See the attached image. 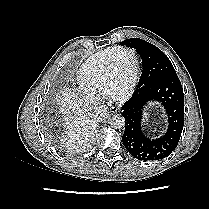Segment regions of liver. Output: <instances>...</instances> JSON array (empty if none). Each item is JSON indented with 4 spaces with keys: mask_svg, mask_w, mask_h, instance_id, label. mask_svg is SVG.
I'll use <instances>...</instances> for the list:
<instances>
[{
    "mask_svg": "<svg viewBox=\"0 0 209 209\" xmlns=\"http://www.w3.org/2000/svg\"><path fill=\"white\" fill-rule=\"evenodd\" d=\"M66 122V133L63 143L71 148L84 145L92 134L93 120L89 106L82 99H78L74 92L66 89L62 92L59 101Z\"/></svg>",
    "mask_w": 209,
    "mask_h": 209,
    "instance_id": "obj_1",
    "label": "liver"
}]
</instances>
